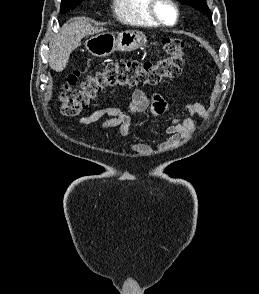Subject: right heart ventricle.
I'll return each instance as SVG.
<instances>
[{
  "instance_id": "obj_1",
  "label": "right heart ventricle",
  "mask_w": 259,
  "mask_h": 294,
  "mask_svg": "<svg viewBox=\"0 0 259 294\" xmlns=\"http://www.w3.org/2000/svg\"><path fill=\"white\" fill-rule=\"evenodd\" d=\"M149 0H113L116 18L127 25L155 28V23L148 13Z\"/></svg>"
}]
</instances>
